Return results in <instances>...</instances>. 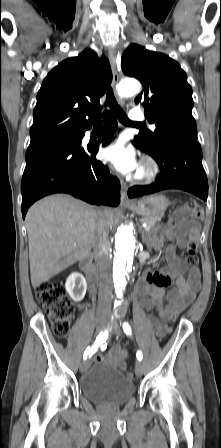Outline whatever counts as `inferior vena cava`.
Here are the masks:
<instances>
[{"mask_svg": "<svg viewBox=\"0 0 221 448\" xmlns=\"http://www.w3.org/2000/svg\"><path fill=\"white\" fill-rule=\"evenodd\" d=\"M104 209L97 210V223L93 251L99 267V305L98 313L109 314L111 307V260L109 227L105 221Z\"/></svg>", "mask_w": 221, "mask_h": 448, "instance_id": "inferior-vena-cava-1", "label": "inferior vena cava"}]
</instances>
